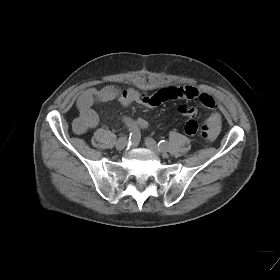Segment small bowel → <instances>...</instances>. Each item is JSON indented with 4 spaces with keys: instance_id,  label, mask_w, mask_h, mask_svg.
<instances>
[{
    "instance_id": "obj_1",
    "label": "small bowel",
    "mask_w": 280,
    "mask_h": 280,
    "mask_svg": "<svg viewBox=\"0 0 280 280\" xmlns=\"http://www.w3.org/2000/svg\"><path fill=\"white\" fill-rule=\"evenodd\" d=\"M114 98V95L109 91V87L102 89L91 88L84 91L77 102L79 117L75 120L79 123V127L73 124L74 131L77 134H83L88 129H92L98 124V115L93 110L92 106L97 102H107ZM184 99L197 100L206 108L213 109L216 105L214 98L206 93L199 92L196 88L191 86H173L166 87L156 91L153 94L147 95L139 92L135 88H127L118 97V102L121 106L126 107L131 103H138L143 106L153 108L165 101ZM180 112L189 118L197 116V109L185 104L180 106ZM136 126L140 129L147 127V121L143 118H138L134 121ZM222 123V116L219 112H213L206 120L205 125L209 127L210 132L208 139L211 140L219 133Z\"/></svg>"
}]
</instances>
